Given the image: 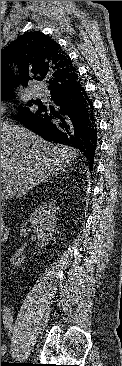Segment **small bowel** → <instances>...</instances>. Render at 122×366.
<instances>
[{"label":"small bowel","mask_w":122,"mask_h":366,"mask_svg":"<svg viewBox=\"0 0 122 366\" xmlns=\"http://www.w3.org/2000/svg\"><path fill=\"white\" fill-rule=\"evenodd\" d=\"M5 352V347H1V355H3Z\"/></svg>","instance_id":"small-bowel-1"}]
</instances>
